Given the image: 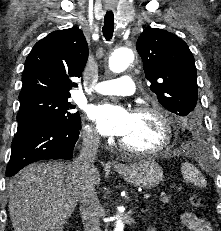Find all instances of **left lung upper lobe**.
<instances>
[{
    "instance_id": "5c2ea615",
    "label": "left lung upper lobe",
    "mask_w": 221,
    "mask_h": 231,
    "mask_svg": "<svg viewBox=\"0 0 221 231\" xmlns=\"http://www.w3.org/2000/svg\"><path fill=\"white\" fill-rule=\"evenodd\" d=\"M136 48L160 104L176 115L191 116L197 106L198 86L194 57L187 44L166 30L147 27Z\"/></svg>"
}]
</instances>
